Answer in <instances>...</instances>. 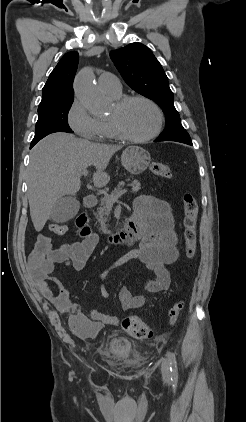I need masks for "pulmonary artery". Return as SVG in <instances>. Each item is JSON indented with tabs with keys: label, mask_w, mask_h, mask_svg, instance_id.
Returning a JSON list of instances; mask_svg holds the SVG:
<instances>
[{
	"label": "pulmonary artery",
	"mask_w": 246,
	"mask_h": 422,
	"mask_svg": "<svg viewBox=\"0 0 246 422\" xmlns=\"http://www.w3.org/2000/svg\"><path fill=\"white\" fill-rule=\"evenodd\" d=\"M98 85L103 92L109 95L118 96L121 94V83L112 73L105 72L98 78Z\"/></svg>",
	"instance_id": "1"
}]
</instances>
